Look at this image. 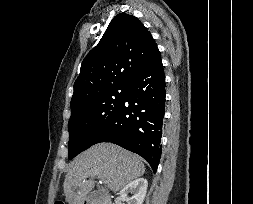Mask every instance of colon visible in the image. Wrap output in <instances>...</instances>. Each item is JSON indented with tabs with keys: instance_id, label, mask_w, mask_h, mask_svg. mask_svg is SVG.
Returning a JSON list of instances; mask_svg holds the SVG:
<instances>
[{
	"instance_id": "colon-1",
	"label": "colon",
	"mask_w": 253,
	"mask_h": 204,
	"mask_svg": "<svg viewBox=\"0 0 253 204\" xmlns=\"http://www.w3.org/2000/svg\"><path fill=\"white\" fill-rule=\"evenodd\" d=\"M54 204H65L63 200L57 199L55 200Z\"/></svg>"
}]
</instances>
